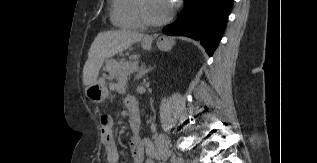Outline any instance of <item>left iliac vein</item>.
<instances>
[{"mask_svg": "<svg viewBox=\"0 0 317 163\" xmlns=\"http://www.w3.org/2000/svg\"><path fill=\"white\" fill-rule=\"evenodd\" d=\"M162 159H164V154H162ZM172 163H179L174 158H172Z\"/></svg>", "mask_w": 317, "mask_h": 163, "instance_id": "obj_1", "label": "left iliac vein"}]
</instances>
